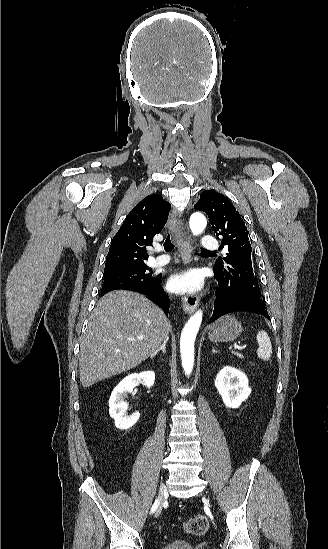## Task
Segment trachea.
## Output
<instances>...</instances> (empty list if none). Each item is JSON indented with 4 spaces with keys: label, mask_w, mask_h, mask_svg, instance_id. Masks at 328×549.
Segmentation results:
<instances>
[{
    "label": "trachea",
    "mask_w": 328,
    "mask_h": 549,
    "mask_svg": "<svg viewBox=\"0 0 328 549\" xmlns=\"http://www.w3.org/2000/svg\"><path fill=\"white\" fill-rule=\"evenodd\" d=\"M173 248H174V244L171 242L170 235H168V237L164 242V249L166 250V252H170V250H172ZM202 250H205V249H202Z\"/></svg>",
    "instance_id": "obj_1"
}]
</instances>
